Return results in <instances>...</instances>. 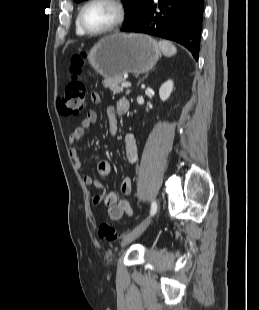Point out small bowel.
<instances>
[{"mask_svg":"<svg viewBox=\"0 0 259 310\" xmlns=\"http://www.w3.org/2000/svg\"><path fill=\"white\" fill-rule=\"evenodd\" d=\"M91 100L93 103H100V95L97 92L91 94ZM122 105H128L126 100H119L116 105L118 110ZM106 115L109 121L110 132L112 135L117 133V120L115 114V108L108 106L106 108ZM97 120V113L94 110L87 112L86 116L78 124V126L71 132L69 136L70 149L69 155L74 162L76 168H81L82 164L78 155V151L74 146L85 134ZM126 153L130 163L135 164L138 160L137 148L135 140L132 134H128L126 137ZM98 173L107 177L111 172V165L107 160H100L97 164ZM84 184L87 186H92L95 188L96 193L92 196V202L95 206L99 207L102 204L108 208V215L112 220H120L124 216H132L133 209L126 199H119L118 193L115 191H110L106 195L104 192V184L96 180L91 175L83 176ZM133 182L132 179L126 177L122 180L120 185V190L124 195H129L132 192Z\"/></svg>","mask_w":259,"mask_h":310,"instance_id":"small-bowel-1","label":"small bowel"}]
</instances>
